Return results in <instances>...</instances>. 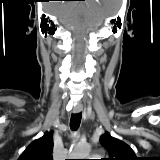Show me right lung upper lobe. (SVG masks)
<instances>
[{
    "label": "right lung upper lobe",
    "mask_w": 160,
    "mask_h": 160,
    "mask_svg": "<svg viewBox=\"0 0 160 160\" xmlns=\"http://www.w3.org/2000/svg\"><path fill=\"white\" fill-rule=\"evenodd\" d=\"M52 131L46 132L43 137L34 140L20 155L18 160H53Z\"/></svg>",
    "instance_id": "obj_1"
}]
</instances>
